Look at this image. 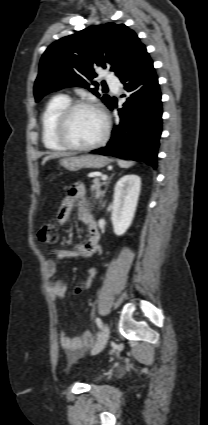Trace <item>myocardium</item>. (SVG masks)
Instances as JSON below:
<instances>
[{"instance_id":"f54148a6","label":"myocardium","mask_w":208,"mask_h":425,"mask_svg":"<svg viewBox=\"0 0 208 425\" xmlns=\"http://www.w3.org/2000/svg\"><path fill=\"white\" fill-rule=\"evenodd\" d=\"M79 109H90L98 112L104 122V130L100 138L88 145H78L71 141L68 135L73 114ZM110 133V119L107 113L97 104L87 101L70 102L59 114L56 122L55 136L57 141L68 150L85 152L104 145Z\"/></svg>"}]
</instances>
